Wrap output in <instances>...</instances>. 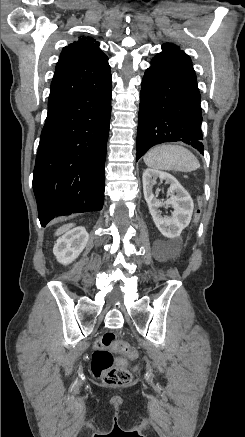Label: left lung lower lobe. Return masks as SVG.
<instances>
[{"instance_id": "0a47b994", "label": "left lung lower lobe", "mask_w": 245, "mask_h": 437, "mask_svg": "<svg viewBox=\"0 0 245 437\" xmlns=\"http://www.w3.org/2000/svg\"><path fill=\"white\" fill-rule=\"evenodd\" d=\"M200 102L190 57L163 44L142 80L136 160L166 142H184L203 154Z\"/></svg>"}]
</instances>
